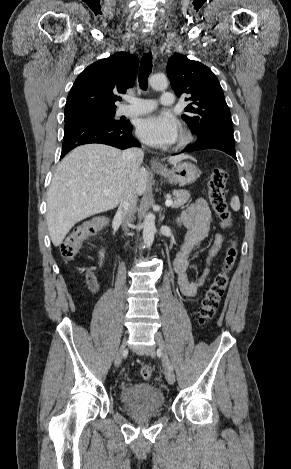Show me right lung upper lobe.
Returning a JSON list of instances; mask_svg holds the SVG:
<instances>
[{
    "instance_id": "obj_1",
    "label": "right lung upper lobe",
    "mask_w": 291,
    "mask_h": 469,
    "mask_svg": "<svg viewBox=\"0 0 291 469\" xmlns=\"http://www.w3.org/2000/svg\"><path fill=\"white\" fill-rule=\"evenodd\" d=\"M138 63L136 56L118 52L88 66L75 80L64 114L116 109V95L133 86Z\"/></svg>"
}]
</instances>
